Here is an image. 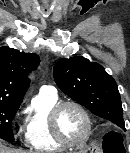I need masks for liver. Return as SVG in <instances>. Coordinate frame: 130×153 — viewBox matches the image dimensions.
<instances>
[{
    "label": "liver",
    "mask_w": 130,
    "mask_h": 153,
    "mask_svg": "<svg viewBox=\"0 0 130 153\" xmlns=\"http://www.w3.org/2000/svg\"><path fill=\"white\" fill-rule=\"evenodd\" d=\"M0 153H27L21 150H16V149H10L3 145L0 141Z\"/></svg>",
    "instance_id": "1"
}]
</instances>
